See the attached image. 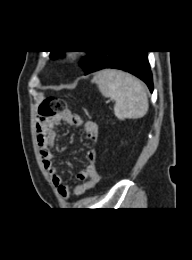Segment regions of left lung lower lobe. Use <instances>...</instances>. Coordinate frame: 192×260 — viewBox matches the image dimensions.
I'll use <instances>...</instances> for the list:
<instances>
[{
    "label": "left lung lower lobe",
    "mask_w": 192,
    "mask_h": 260,
    "mask_svg": "<svg viewBox=\"0 0 192 260\" xmlns=\"http://www.w3.org/2000/svg\"><path fill=\"white\" fill-rule=\"evenodd\" d=\"M105 68L127 71L143 80L150 91H153L152 74L147 51L100 50L92 59L85 71V75Z\"/></svg>",
    "instance_id": "0a47b994"
}]
</instances>
